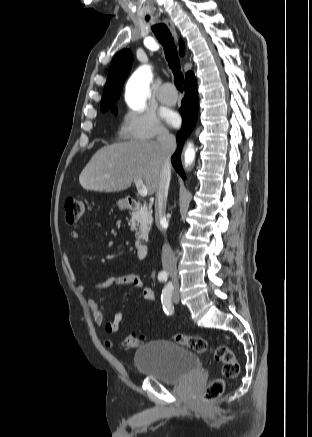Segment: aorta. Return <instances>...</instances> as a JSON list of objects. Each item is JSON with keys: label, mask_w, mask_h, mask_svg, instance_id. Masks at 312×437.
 Wrapping results in <instances>:
<instances>
[{"label": "aorta", "mask_w": 312, "mask_h": 437, "mask_svg": "<svg viewBox=\"0 0 312 437\" xmlns=\"http://www.w3.org/2000/svg\"><path fill=\"white\" fill-rule=\"evenodd\" d=\"M151 80V69L147 65L140 67L129 79L126 87V101L132 109L138 110L144 107L145 99L150 92ZM194 159L195 150L190 143L184 153L185 166L192 165Z\"/></svg>", "instance_id": "obj_1"}]
</instances>
